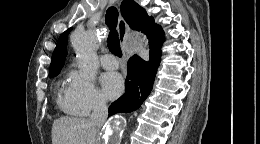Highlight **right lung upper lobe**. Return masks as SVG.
<instances>
[{"mask_svg":"<svg viewBox=\"0 0 260 144\" xmlns=\"http://www.w3.org/2000/svg\"><path fill=\"white\" fill-rule=\"evenodd\" d=\"M121 14L131 29L141 31L147 35L149 45L160 43L164 40V33L159 25L154 24V19L134 0H123ZM72 28L63 32L56 44L52 55L49 73L61 70L66 58L67 36Z\"/></svg>","mask_w":260,"mask_h":144,"instance_id":"cb5924a9","label":"right lung upper lobe"}]
</instances>
